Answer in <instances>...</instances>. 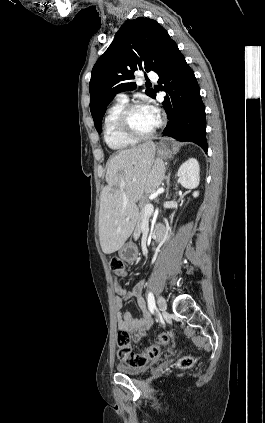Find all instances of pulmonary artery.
<instances>
[{"label": "pulmonary artery", "instance_id": "obj_1", "mask_svg": "<svg viewBox=\"0 0 265 423\" xmlns=\"http://www.w3.org/2000/svg\"><path fill=\"white\" fill-rule=\"evenodd\" d=\"M148 78L149 79H156L157 78V74L154 73V72H150L148 74ZM117 99L119 101H127V96L125 94H123V93H120V94H118Z\"/></svg>", "mask_w": 265, "mask_h": 423}]
</instances>
